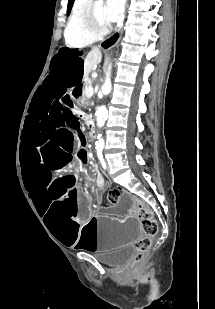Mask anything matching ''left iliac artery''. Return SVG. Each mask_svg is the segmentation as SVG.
I'll return each instance as SVG.
<instances>
[{"instance_id": "left-iliac-artery-1", "label": "left iliac artery", "mask_w": 215, "mask_h": 309, "mask_svg": "<svg viewBox=\"0 0 215 309\" xmlns=\"http://www.w3.org/2000/svg\"><path fill=\"white\" fill-rule=\"evenodd\" d=\"M98 158H99V160H100V162H101V164H102V167L104 168V169H106V163H105V161H104V158H103V155H102V153H98Z\"/></svg>"}]
</instances>
